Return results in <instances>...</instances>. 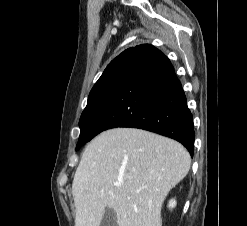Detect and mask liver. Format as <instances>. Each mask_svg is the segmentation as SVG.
I'll return each mask as SVG.
<instances>
[{"label":"liver","instance_id":"6515ba94","mask_svg":"<svg viewBox=\"0 0 247 226\" xmlns=\"http://www.w3.org/2000/svg\"><path fill=\"white\" fill-rule=\"evenodd\" d=\"M190 165L188 151L172 139L134 128L101 133L73 179L75 226H100L106 208L118 226H162L163 202Z\"/></svg>","mask_w":247,"mask_h":226}]
</instances>
